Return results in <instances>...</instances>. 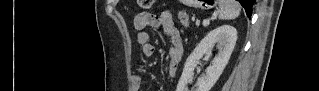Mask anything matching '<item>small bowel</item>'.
Masks as SVG:
<instances>
[{
    "instance_id": "obj_1",
    "label": "small bowel",
    "mask_w": 319,
    "mask_h": 91,
    "mask_svg": "<svg viewBox=\"0 0 319 91\" xmlns=\"http://www.w3.org/2000/svg\"><path fill=\"white\" fill-rule=\"evenodd\" d=\"M135 26L140 29L137 34V42L140 46L141 52L145 57H152L155 52L154 45L150 42L149 34L143 31L144 28H160L164 31L170 40V47L168 50V64L167 72L170 77H174L178 70L179 62L183 55V43L181 34L174 24L170 12H161L159 15L150 13H139L135 18ZM132 84L134 91H141L144 79L139 74L132 75Z\"/></svg>"
}]
</instances>
